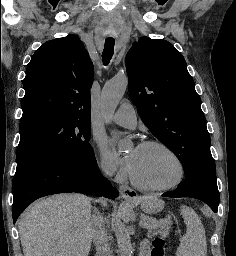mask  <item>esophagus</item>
<instances>
[{
	"label": "esophagus",
	"mask_w": 236,
	"mask_h": 256,
	"mask_svg": "<svg viewBox=\"0 0 236 256\" xmlns=\"http://www.w3.org/2000/svg\"><path fill=\"white\" fill-rule=\"evenodd\" d=\"M119 193L125 200H135L137 198V193L127 184H122L119 186Z\"/></svg>",
	"instance_id": "obj_1"
}]
</instances>
